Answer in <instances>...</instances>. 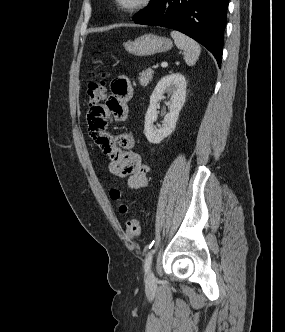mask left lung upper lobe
<instances>
[{"instance_id":"left-lung-upper-lobe-1","label":"left lung upper lobe","mask_w":285,"mask_h":332,"mask_svg":"<svg viewBox=\"0 0 285 332\" xmlns=\"http://www.w3.org/2000/svg\"><path fill=\"white\" fill-rule=\"evenodd\" d=\"M160 1L161 0H151L149 3V6L146 9L139 12L138 14H136V16L133 19H137V18L149 13L159 4Z\"/></svg>"}]
</instances>
